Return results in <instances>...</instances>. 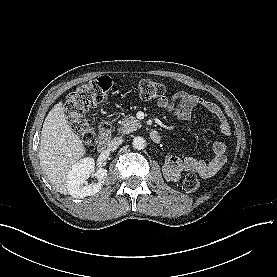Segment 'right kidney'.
Returning <instances> with one entry per match:
<instances>
[{"instance_id": "ca27d5eb", "label": "right kidney", "mask_w": 277, "mask_h": 277, "mask_svg": "<svg viewBox=\"0 0 277 277\" xmlns=\"http://www.w3.org/2000/svg\"><path fill=\"white\" fill-rule=\"evenodd\" d=\"M95 162L93 158L86 157L78 161L69 172L68 178L71 186L75 188L80 197L94 195L101 189L102 183L105 181L107 171L100 169L96 173L98 183L84 185L86 180L94 172Z\"/></svg>"}]
</instances>
